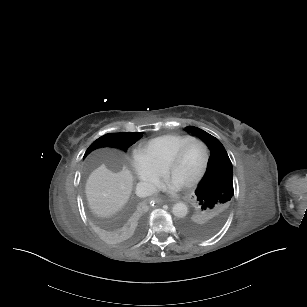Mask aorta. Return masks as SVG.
Masks as SVG:
<instances>
[{"mask_svg":"<svg viewBox=\"0 0 307 307\" xmlns=\"http://www.w3.org/2000/svg\"><path fill=\"white\" fill-rule=\"evenodd\" d=\"M188 208L183 202L175 203L172 207V213L178 218H183L187 215Z\"/></svg>","mask_w":307,"mask_h":307,"instance_id":"1","label":"aorta"}]
</instances>
